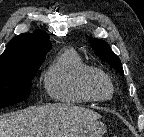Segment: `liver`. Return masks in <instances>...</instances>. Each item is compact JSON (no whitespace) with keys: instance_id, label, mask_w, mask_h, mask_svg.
I'll return each mask as SVG.
<instances>
[{"instance_id":"6515ba94","label":"liver","mask_w":144,"mask_h":137,"mask_svg":"<svg viewBox=\"0 0 144 137\" xmlns=\"http://www.w3.org/2000/svg\"><path fill=\"white\" fill-rule=\"evenodd\" d=\"M100 118L93 110L70 104L28 107L0 116V137H69Z\"/></svg>"}]
</instances>
